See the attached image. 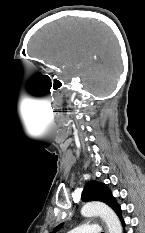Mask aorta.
<instances>
[{
	"label": "aorta",
	"instance_id": "obj_1",
	"mask_svg": "<svg viewBox=\"0 0 145 233\" xmlns=\"http://www.w3.org/2000/svg\"><path fill=\"white\" fill-rule=\"evenodd\" d=\"M81 215L84 217L100 216L106 223L109 233H122V226L117 215L104 203H86L81 208Z\"/></svg>",
	"mask_w": 145,
	"mask_h": 233
}]
</instances>
